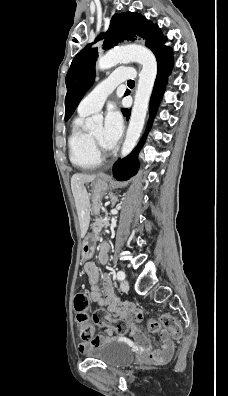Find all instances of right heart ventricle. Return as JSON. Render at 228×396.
<instances>
[{"mask_svg":"<svg viewBox=\"0 0 228 396\" xmlns=\"http://www.w3.org/2000/svg\"><path fill=\"white\" fill-rule=\"evenodd\" d=\"M88 114H81L74 119L68 137L71 162L80 169L92 170L99 166L101 159L97 155L90 133L84 128V120Z\"/></svg>","mask_w":228,"mask_h":396,"instance_id":"1","label":"right heart ventricle"}]
</instances>
